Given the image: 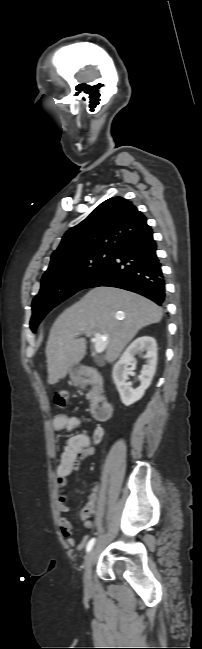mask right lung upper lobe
Returning <instances> with one entry per match:
<instances>
[{"label": "right lung upper lobe", "instance_id": "1", "mask_svg": "<svg viewBox=\"0 0 202 649\" xmlns=\"http://www.w3.org/2000/svg\"><path fill=\"white\" fill-rule=\"evenodd\" d=\"M146 221V217L132 202L122 197L104 201L85 220L65 233L59 247L53 252L44 275L57 270L64 262L88 252H115L127 240L149 230Z\"/></svg>", "mask_w": 202, "mask_h": 649}]
</instances>
